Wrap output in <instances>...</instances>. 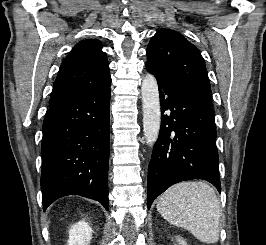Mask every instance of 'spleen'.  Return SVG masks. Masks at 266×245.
I'll list each match as a JSON object with an SVG mask.
<instances>
[{
    "label": "spleen",
    "mask_w": 266,
    "mask_h": 245,
    "mask_svg": "<svg viewBox=\"0 0 266 245\" xmlns=\"http://www.w3.org/2000/svg\"><path fill=\"white\" fill-rule=\"evenodd\" d=\"M157 211L174 227H182L198 241L215 245L221 211L215 191L202 181L173 185L157 203Z\"/></svg>",
    "instance_id": "1"
}]
</instances>
